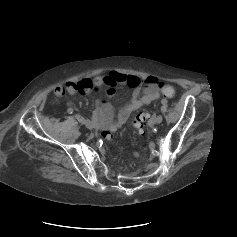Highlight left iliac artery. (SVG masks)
<instances>
[{
	"mask_svg": "<svg viewBox=\"0 0 237 237\" xmlns=\"http://www.w3.org/2000/svg\"><path fill=\"white\" fill-rule=\"evenodd\" d=\"M161 103H162L163 105L167 104V99H162V100H161Z\"/></svg>",
	"mask_w": 237,
	"mask_h": 237,
	"instance_id": "left-iliac-artery-1",
	"label": "left iliac artery"
}]
</instances>
